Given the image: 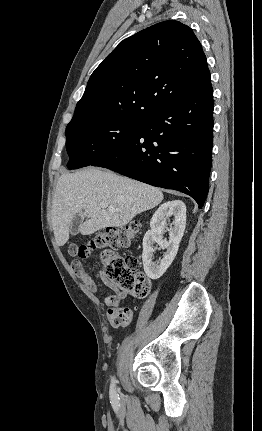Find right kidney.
I'll return each instance as SVG.
<instances>
[{
    "mask_svg": "<svg viewBox=\"0 0 262 431\" xmlns=\"http://www.w3.org/2000/svg\"><path fill=\"white\" fill-rule=\"evenodd\" d=\"M174 217L173 227L169 229V241L163 240V232L167 225V219ZM186 225V206L180 200L168 201L162 204L152 216L150 230L143 238L142 260L144 271L151 279L160 278L172 264L183 237ZM157 243L162 249H167L165 256L157 262H153L154 247Z\"/></svg>",
    "mask_w": 262,
    "mask_h": 431,
    "instance_id": "ca27d5eb",
    "label": "right kidney"
}]
</instances>
